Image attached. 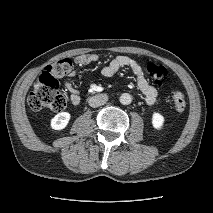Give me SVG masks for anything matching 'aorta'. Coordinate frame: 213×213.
I'll use <instances>...</instances> for the list:
<instances>
[{"mask_svg":"<svg viewBox=\"0 0 213 213\" xmlns=\"http://www.w3.org/2000/svg\"><path fill=\"white\" fill-rule=\"evenodd\" d=\"M120 102L123 105H129L132 102V97L128 93H123L120 96Z\"/></svg>","mask_w":213,"mask_h":213,"instance_id":"762f6f07","label":"aorta"}]
</instances>
